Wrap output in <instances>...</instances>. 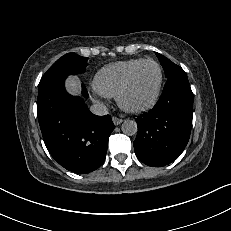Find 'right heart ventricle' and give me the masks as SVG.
Segmentation results:
<instances>
[{
    "instance_id": "right-heart-ventricle-1",
    "label": "right heart ventricle",
    "mask_w": 231,
    "mask_h": 231,
    "mask_svg": "<svg viewBox=\"0 0 231 231\" xmlns=\"http://www.w3.org/2000/svg\"><path fill=\"white\" fill-rule=\"evenodd\" d=\"M142 60L135 58L104 66L94 77L95 90L104 97H115L130 70Z\"/></svg>"
}]
</instances>
